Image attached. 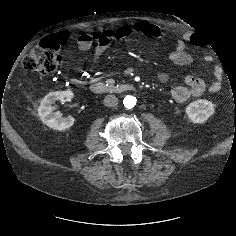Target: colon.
Segmentation results:
<instances>
[{"instance_id": "colon-1", "label": "colon", "mask_w": 236, "mask_h": 236, "mask_svg": "<svg viewBox=\"0 0 236 236\" xmlns=\"http://www.w3.org/2000/svg\"><path fill=\"white\" fill-rule=\"evenodd\" d=\"M94 37L97 38L98 35ZM62 45L63 42L57 36L45 38L40 45L31 50L24 58L22 63L24 70L42 75L54 72L62 62L60 53Z\"/></svg>"}]
</instances>
